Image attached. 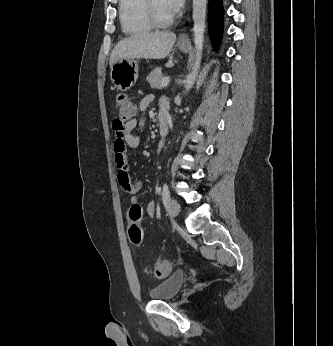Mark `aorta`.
<instances>
[{
	"mask_svg": "<svg viewBox=\"0 0 333 346\" xmlns=\"http://www.w3.org/2000/svg\"><path fill=\"white\" fill-rule=\"evenodd\" d=\"M206 5L207 0H193L195 62L186 80V91L192 88L198 74V69L200 68L203 53Z\"/></svg>",
	"mask_w": 333,
	"mask_h": 346,
	"instance_id": "obj_1",
	"label": "aorta"
}]
</instances>
